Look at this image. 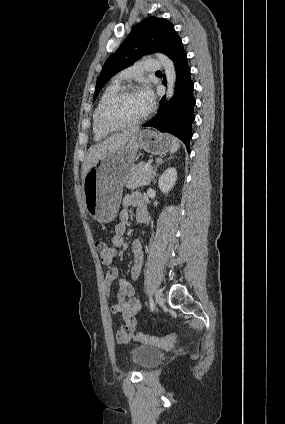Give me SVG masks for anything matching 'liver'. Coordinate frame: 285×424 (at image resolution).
I'll use <instances>...</instances> for the list:
<instances>
[{
  "label": "liver",
  "instance_id": "obj_1",
  "mask_svg": "<svg viewBox=\"0 0 285 424\" xmlns=\"http://www.w3.org/2000/svg\"><path fill=\"white\" fill-rule=\"evenodd\" d=\"M138 132L139 128H132L130 130L124 131L123 133L112 135L104 141L92 146L88 150L84 161V167L82 172L83 179L88 173V171L97 163L98 160L103 159L108 153L116 151L117 149L128 144L135 138Z\"/></svg>",
  "mask_w": 285,
  "mask_h": 424
}]
</instances>
